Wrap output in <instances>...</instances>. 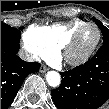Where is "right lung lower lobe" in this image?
<instances>
[{"instance_id":"right-lung-lower-lobe-1","label":"right lung lower lobe","mask_w":109,"mask_h":109,"mask_svg":"<svg viewBox=\"0 0 109 109\" xmlns=\"http://www.w3.org/2000/svg\"><path fill=\"white\" fill-rule=\"evenodd\" d=\"M19 48V43L1 37V109L13 102L26 76L40 68L38 62L21 60L17 56Z\"/></svg>"}]
</instances>
